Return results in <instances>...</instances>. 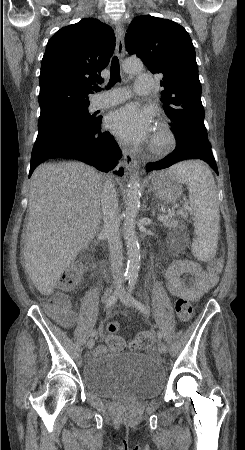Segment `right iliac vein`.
Masks as SVG:
<instances>
[{"instance_id":"obj_1","label":"right iliac vein","mask_w":245,"mask_h":450,"mask_svg":"<svg viewBox=\"0 0 245 450\" xmlns=\"http://www.w3.org/2000/svg\"><path fill=\"white\" fill-rule=\"evenodd\" d=\"M93 346H94V340H93V339H90V340L87 342V347H88L89 349H91Z\"/></svg>"}]
</instances>
